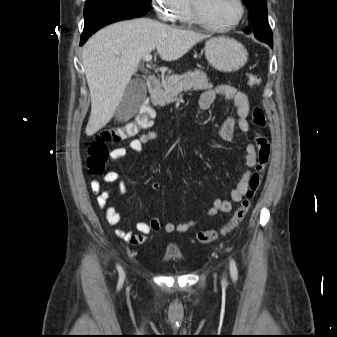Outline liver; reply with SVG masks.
<instances>
[{
	"instance_id": "1",
	"label": "liver",
	"mask_w": 337,
	"mask_h": 337,
	"mask_svg": "<svg viewBox=\"0 0 337 337\" xmlns=\"http://www.w3.org/2000/svg\"><path fill=\"white\" fill-rule=\"evenodd\" d=\"M205 38L147 18L117 22L93 35L82 53L91 96L86 135H94L112 119L145 55L156 49L163 60L175 61Z\"/></svg>"
}]
</instances>
